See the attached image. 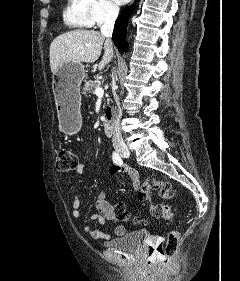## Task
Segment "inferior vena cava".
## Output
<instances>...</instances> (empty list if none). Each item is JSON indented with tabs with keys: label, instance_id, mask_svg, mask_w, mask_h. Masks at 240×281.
<instances>
[{
	"label": "inferior vena cava",
	"instance_id": "602c4592",
	"mask_svg": "<svg viewBox=\"0 0 240 281\" xmlns=\"http://www.w3.org/2000/svg\"><path fill=\"white\" fill-rule=\"evenodd\" d=\"M119 14V8L115 5H111L109 7L107 16L105 18L104 24L101 26V34L107 38V41L111 42L112 32L114 28L115 21ZM117 78L116 74L113 72V82L115 83V79ZM114 98L116 103H119V98L114 92ZM122 116V111L120 107L113 109V138L112 142L113 144H123V138L121 135V129H120V119Z\"/></svg>",
	"mask_w": 240,
	"mask_h": 281
}]
</instances>
